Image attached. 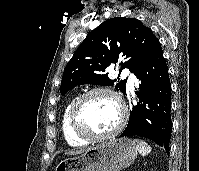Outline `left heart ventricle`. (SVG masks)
I'll return each mask as SVG.
<instances>
[{
  "label": "left heart ventricle",
  "instance_id": "1",
  "mask_svg": "<svg viewBox=\"0 0 199 171\" xmlns=\"http://www.w3.org/2000/svg\"><path fill=\"white\" fill-rule=\"evenodd\" d=\"M120 120V110L109 95L96 94L83 104L82 121L93 134H105L113 130Z\"/></svg>",
  "mask_w": 199,
  "mask_h": 171
}]
</instances>
